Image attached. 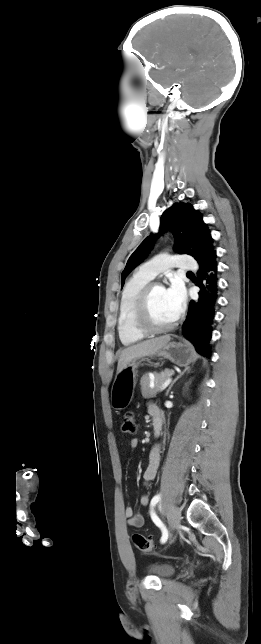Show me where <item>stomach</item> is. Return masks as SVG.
Returning <instances> with one entry per match:
<instances>
[{
    "instance_id": "stomach-1",
    "label": "stomach",
    "mask_w": 261,
    "mask_h": 644,
    "mask_svg": "<svg viewBox=\"0 0 261 644\" xmlns=\"http://www.w3.org/2000/svg\"><path fill=\"white\" fill-rule=\"evenodd\" d=\"M151 356L168 359L178 366L186 367L195 359V352L187 341H169ZM143 360H139V358L131 360L116 375L111 388V406L113 409L123 410L131 403L135 392L137 368Z\"/></svg>"
}]
</instances>
